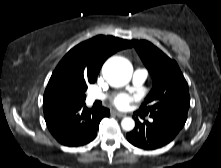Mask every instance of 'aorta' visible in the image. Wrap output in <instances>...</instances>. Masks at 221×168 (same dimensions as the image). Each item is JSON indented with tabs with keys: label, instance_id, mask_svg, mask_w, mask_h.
Here are the masks:
<instances>
[{
	"label": "aorta",
	"instance_id": "1",
	"mask_svg": "<svg viewBox=\"0 0 221 168\" xmlns=\"http://www.w3.org/2000/svg\"><path fill=\"white\" fill-rule=\"evenodd\" d=\"M132 64L123 57H112L108 59L102 68L104 78L114 87L126 85L132 77ZM122 129L131 131L135 127V122L130 117H125L121 121Z\"/></svg>",
	"mask_w": 221,
	"mask_h": 168
}]
</instances>
